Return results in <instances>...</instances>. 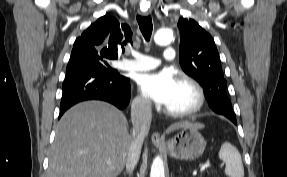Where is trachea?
<instances>
[{"mask_svg": "<svg viewBox=\"0 0 287 177\" xmlns=\"http://www.w3.org/2000/svg\"><path fill=\"white\" fill-rule=\"evenodd\" d=\"M137 22L139 24V28L145 40L150 41L152 30H153V24H152L151 17L150 16L143 17V16L138 15Z\"/></svg>", "mask_w": 287, "mask_h": 177, "instance_id": "obj_1", "label": "trachea"}]
</instances>
